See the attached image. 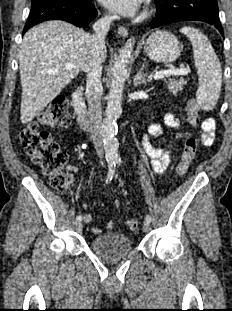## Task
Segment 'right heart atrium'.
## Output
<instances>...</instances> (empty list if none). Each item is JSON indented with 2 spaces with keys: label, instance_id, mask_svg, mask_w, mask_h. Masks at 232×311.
<instances>
[{
  "label": "right heart atrium",
  "instance_id": "obj_1",
  "mask_svg": "<svg viewBox=\"0 0 232 311\" xmlns=\"http://www.w3.org/2000/svg\"><path fill=\"white\" fill-rule=\"evenodd\" d=\"M105 19H110V16H109V15H106V16H105Z\"/></svg>",
  "mask_w": 232,
  "mask_h": 311
}]
</instances>
